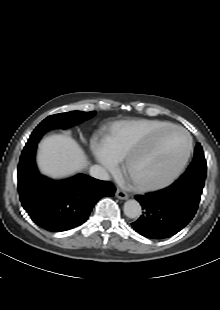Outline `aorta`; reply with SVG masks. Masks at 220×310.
<instances>
[{
	"label": "aorta",
	"instance_id": "aorta-1",
	"mask_svg": "<svg viewBox=\"0 0 220 310\" xmlns=\"http://www.w3.org/2000/svg\"><path fill=\"white\" fill-rule=\"evenodd\" d=\"M124 214L130 218H138L141 215V205L136 200H128L123 207Z\"/></svg>",
	"mask_w": 220,
	"mask_h": 310
}]
</instances>
